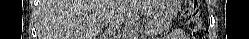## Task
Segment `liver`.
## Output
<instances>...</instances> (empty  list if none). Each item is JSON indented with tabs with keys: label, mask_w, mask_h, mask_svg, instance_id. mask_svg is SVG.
Here are the masks:
<instances>
[{
	"label": "liver",
	"mask_w": 249,
	"mask_h": 39,
	"mask_svg": "<svg viewBox=\"0 0 249 39\" xmlns=\"http://www.w3.org/2000/svg\"><path fill=\"white\" fill-rule=\"evenodd\" d=\"M125 0H41L39 39H96L111 22L124 21Z\"/></svg>",
	"instance_id": "obj_1"
}]
</instances>
